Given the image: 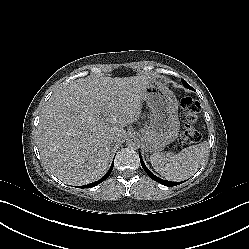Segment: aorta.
Masks as SVG:
<instances>
[{
    "mask_svg": "<svg viewBox=\"0 0 249 249\" xmlns=\"http://www.w3.org/2000/svg\"><path fill=\"white\" fill-rule=\"evenodd\" d=\"M126 146L129 148H138L140 146V140L135 136H129L126 139Z\"/></svg>",
    "mask_w": 249,
    "mask_h": 249,
    "instance_id": "1",
    "label": "aorta"
}]
</instances>
